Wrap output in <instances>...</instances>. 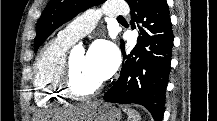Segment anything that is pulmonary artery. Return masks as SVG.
Here are the masks:
<instances>
[{"label":"pulmonary artery","instance_id":"e3ab8cb5","mask_svg":"<svg viewBox=\"0 0 217 121\" xmlns=\"http://www.w3.org/2000/svg\"><path fill=\"white\" fill-rule=\"evenodd\" d=\"M128 11L129 9L125 5H119L115 2L108 3L102 9H92L85 12L62 29L58 36L73 43L94 29L101 14L112 18H119L126 15Z\"/></svg>","mask_w":217,"mask_h":121}]
</instances>
